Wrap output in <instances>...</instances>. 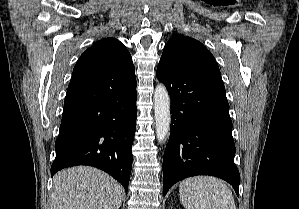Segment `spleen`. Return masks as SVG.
<instances>
[{
  "label": "spleen",
  "mask_w": 299,
  "mask_h": 209,
  "mask_svg": "<svg viewBox=\"0 0 299 209\" xmlns=\"http://www.w3.org/2000/svg\"><path fill=\"white\" fill-rule=\"evenodd\" d=\"M179 191L185 209H236L230 188L218 178H187L180 183Z\"/></svg>",
  "instance_id": "spleen-1"
}]
</instances>
